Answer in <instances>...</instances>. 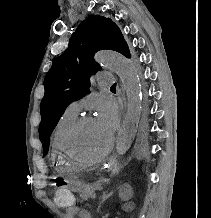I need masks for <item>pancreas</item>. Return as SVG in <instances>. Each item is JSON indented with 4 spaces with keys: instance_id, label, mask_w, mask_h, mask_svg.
<instances>
[{
    "instance_id": "cf45deb5",
    "label": "pancreas",
    "mask_w": 211,
    "mask_h": 218,
    "mask_svg": "<svg viewBox=\"0 0 211 218\" xmlns=\"http://www.w3.org/2000/svg\"><path fill=\"white\" fill-rule=\"evenodd\" d=\"M95 190H101L100 184H86V186H83L82 192H80V198H82V200H88V198H95Z\"/></svg>"
}]
</instances>
